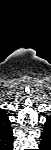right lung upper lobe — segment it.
<instances>
[{
	"instance_id": "right-lung-upper-lobe-1",
	"label": "right lung upper lobe",
	"mask_w": 51,
	"mask_h": 150,
	"mask_svg": "<svg viewBox=\"0 0 51 150\" xmlns=\"http://www.w3.org/2000/svg\"><path fill=\"white\" fill-rule=\"evenodd\" d=\"M13 142V131L10 121L3 109H0V149L7 150Z\"/></svg>"
}]
</instances>
